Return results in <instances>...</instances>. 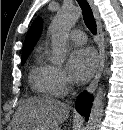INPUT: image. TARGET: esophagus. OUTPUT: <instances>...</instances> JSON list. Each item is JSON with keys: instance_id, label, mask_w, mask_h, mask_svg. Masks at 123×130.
Returning <instances> with one entry per match:
<instances>
[{"instance_id": "1", "label": "esophagus", "mask_w": 123, "mask_h": 130, "mask_svg": "<svg viewBox=\"0 0 123 130\" xmlns=\"http://www.w3.org/2000/svg\"><path fill=\"white\" fill-rule=\"evenodd\" d=\"M91 6L94 18L96 20V25H97V39H98V47H99V66H98V70L93 78V80L91 81V83L89 84V86L87 87V92L88 93H92L100 80L102 71H103V67H104V62H105V44H104V33H103V28H102V23L99 17V13L97 8L95 7L93 0H87Z\"/></svg>"}]
</instances>
